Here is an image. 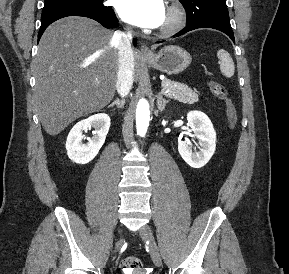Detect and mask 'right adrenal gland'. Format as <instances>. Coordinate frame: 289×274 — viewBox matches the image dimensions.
I'll list each match as a JSON object with an SVG mask.
<instances>
[{
    "instance_id": "obj_1",
    "label": "right adrenal gland",
    "mask_w": 289,
    "mask_h": 274,
    "mask_svg": "<svg viewBox=\"0 0 289 274\" xmlns=\"http://www.w3.org/2000/svg\"><path fill=\"white\" fill-rule=\"evenodd\" d=\"M124 102H125L124 99H121V100L116 99L114 102H112V103L108 106V108L113 107V106H116L117 108L121 109V108L124 107Z\"/></svg>"
}]
</instances>
